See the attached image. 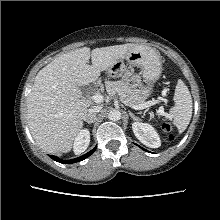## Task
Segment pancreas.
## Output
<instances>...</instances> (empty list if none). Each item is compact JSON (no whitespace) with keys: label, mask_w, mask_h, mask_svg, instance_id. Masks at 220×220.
Returning a JSON list of instances; mask_svg holds the SVG:
<instances>
[{"label":"pancreas","mask_w":220,"mask_h":220,"mask_svg":"<svg viewBox=\"0 0 220 220\" xmlns=\"http://www.w3.org/2000/svg\"><path fill=\"white\" fill-rule=\"evenodd\" d=\"M105 87L109 96L117 94L120 101L127 106H139L145 103V98L141 93L134 86L128 84L124 80L106 81Z\"/></svg>","instance_id":"pancreas-1"}]
</instances>
